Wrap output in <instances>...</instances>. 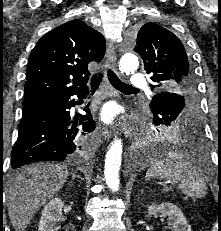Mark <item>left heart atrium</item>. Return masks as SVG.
Instances as JSON below:
<instances>
[{
  "instance_id": "left-heart-atrium-1",
  "label": "left heart atrium",
  "mask_w": 221,
  "mask_h": 231,
  "mask_svg": "<svg viewBox=\"0 0 221 231\" xmlns=\"http://www.w3.org/2000/svg\"><path fill=\"white\" fill-rule=\"evenodd\" d=\"M102 118L105 122H111L114 118V110L112 106H106L102 112Z\"/></svg>"
}]
</instances>
